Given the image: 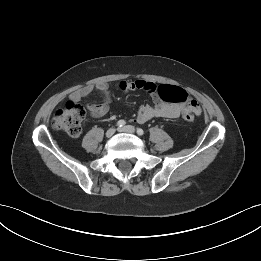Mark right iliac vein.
Segmentation results:
<instances>
[{"label":"right iliac vein","mask_w":261,"mask_h":261,"mask_svg":"<svg viewBox=\"0 0 261 261\" xmlns=\"http://www.w3.org/2000/svg\"><path fill=\"white\" fill-rule=\"evenodd\" d=\"M115 129L114 128H110L107 130L106 132V137L110 138L111 136H113V134L115 133Z\"/></svg>","instance_id":"right-iliac-vein-1"}]
</instances>
